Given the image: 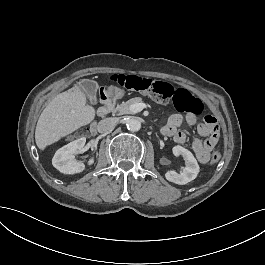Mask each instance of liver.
Returning a JSON list of instances; mask_svg holds the SVG:
<instances>
[{"mask_svg": "<svg viewBox=\"0 0 265 265\" xmlns=\"http://www.w3.org/2000/svg\"><path fill=\"white\" fill-rule=\"evenodd\" d=\"M95 109L86 105L85 94L78 86L58 94L41 113L35 141L44 150L60 138L74 132L94 120Z\"/></svg>", "mask_w": 265, "mask_h": 265, "instance_id": "1", "label": "liver"}]
</instances>
